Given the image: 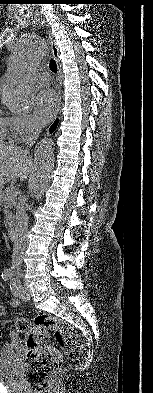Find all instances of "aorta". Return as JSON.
<instances>
[{"instance_id": "762f6f07", "label": "aorta", "mask_w": 153, "mask_h": 393, "mask_svg": "<svg viewBox=\"0 0 153 393\" xmlns=\"http://www.w3.org/2000/svg\"><path fill=\"white\" fill-rule=\"evenodd\" d=\"M47 50L46 39L40 35H28L20 39L8 59V76L0 88L3 104L12 113L29 112L34 103L35 88L32 73ZM35 175L32 197L42 198L51 183L54 168V145L51 139L40 141L34 151Z\"/></svg>"}]
</instances>
